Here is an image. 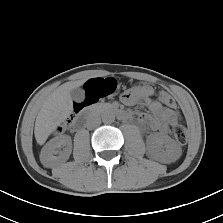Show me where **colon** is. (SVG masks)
<instances>
[{"label":"colon","instance_id":"colon-1","mask_svg":"<svg viewBox=\"0 0 223 223\" xmlns=\"http://www.w3.org/2000/svg\"><path fill=\"white\" fill-rule=\"evenodd\" d=\"M117 89L116 82L112 78H107L105 80L92 79L89 80L83 87V99L77 102L75 105V112L80 111L84 106L98 102L101 98L107 97L113 94ZM121 91V95H125ZM159 100L161 103L168 107H174V99L167 93H161L159 95ZM71 123V119L68 120L61 129H66ZM172 132L176 140L181 145H185L187 142V132L185 127L180 123H175L172 126Z\"/></svg>","mask_w":223,"mask_h":223}]
</instances>
